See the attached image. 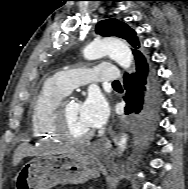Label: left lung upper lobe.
Instances as JSON below:
<instances>
[{"label": "left lung upper lobe", "instance_id": "5c2ea615", "mask_svg": "<svg viewBox=\"0 0 188 189\" xmlns=\"http://www.w3.org/2000/svg\"><path fill=\"white\" fill-rule=\"evenodd\" d=\"M96 33L105 37L116 36L126 40L132 46V53L136 63L147 59L140 51V42L135 31L124 22L115 18L102 20L96 26Z\"/></svg>", "mask_w": 188, "mask_h": 189}]
</instances>
